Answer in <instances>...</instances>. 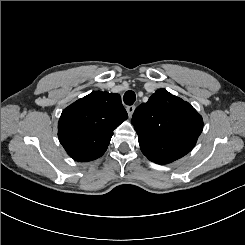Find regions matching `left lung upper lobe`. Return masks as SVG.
Here are the masks:
<instances>
[{"instance_id": "left-lung-upper-lobe-1", "label": "left lung upper lobe", "mask_w": 245, "mask_h": 245, "mask_svg": "<svg viewBox=\"0 0 245 245\" xmlns=\"http://www.w3.org/2000/svg\"><path fill=\"white\" fill-rule=\"evenodd\" d=\"M143 154L151 161L177 160L189 153L203 129L202 117L166 89L136 108L131 120Z\"/></svg>"}]
</instances>
